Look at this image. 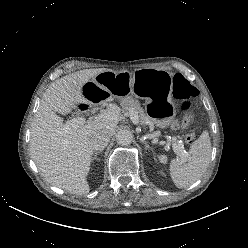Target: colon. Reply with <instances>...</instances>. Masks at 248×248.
<instances>
[{
    "mask_svg": "<svg viewBox=\"0 0 248 248\" xmlns=\"http://www.w3.org/2000/svg\"><path fill=\"white\" fill-rule=\"evenodd\" d=\"M172 88L174 96L182 101L181 108L183 113L188 117L192 116L194 113L193 99L197 96L196 88L181 74L174 76ZM194 139L195 133L193 131H189L185 135V141L187 143H192Z\"/></svg>",
    "mask_w": 248,
    "mask_h": 248,
    "instance_id": "1",
    "label": "colon"
}]
</instances>
